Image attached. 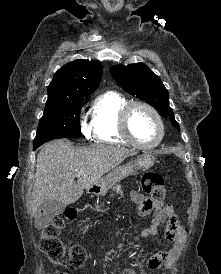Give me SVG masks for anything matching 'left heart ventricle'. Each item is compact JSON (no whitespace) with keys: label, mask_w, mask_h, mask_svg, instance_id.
<instances>
[{"label":"left heart ventricle","mask_w":221,"mask_h":274,"mask_svg":"<svg viewBox=\"0 0 221 274\" xmlns=\"http://www.w3.org/2000/svg\"><path fill=\"white\" fill-rule=\"evenodd\" d=\"M130 129L134 138L143 144H152L159 136V126L155 117L142 107H136L132 111Z\"/></svg>","instance_id":"obj_1"}]
</instances>
